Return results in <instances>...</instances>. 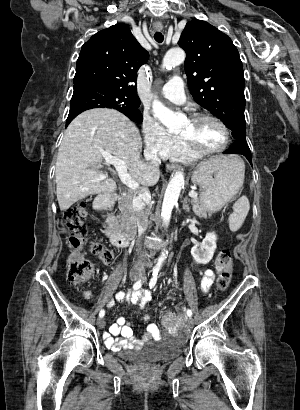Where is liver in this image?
Masks as SVG:
<instances>
[{"label":"liver","instance_id":"liver-1","mask_svg":"<svg viewBox=\"0 0 300 410\" xmlns=\"http://www.w3.org/2000/svg\"><path fill=\"white\" fill-rule=\"evenodd\" d=\"M103 152L125 162L138 184L154 186L159 169L141 161L142 141L135 124L122 113L106 108L85 111L68 126L56 162V194L61 211L92 194L111 193L117 185L98 170ZM227 159V156H215Z\"/></svg>","mask_w":300,"mask_h":410}]
</instances>
